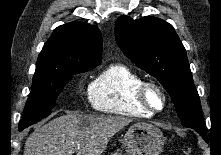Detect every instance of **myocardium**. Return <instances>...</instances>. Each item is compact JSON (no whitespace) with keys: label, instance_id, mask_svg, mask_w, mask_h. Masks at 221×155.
Returning <instances> with one entry per match:
<instances>
[{"label":"myocardium","instance_id":"myocardium-1","mask_svg":"<svg viewBox=\"0 0 221 155\" xmlns=\"http://www.w3.org/2000/svg\"><path fill=\"white\" fill-rule=\"evenodd\" d=\"M150 90H154L160 95L162 100V104L160 107L156 108L150 103L148 99V94ZM136 96L140 106L152 114L160 113L166 108L167 95L164 89L159 84L153 81H143V83L139 86L137 90Z\"/></svg>","mask_w":221,"mask_h":155}]
</instances>
